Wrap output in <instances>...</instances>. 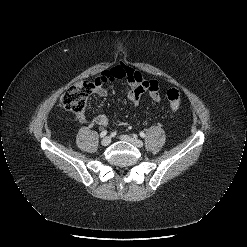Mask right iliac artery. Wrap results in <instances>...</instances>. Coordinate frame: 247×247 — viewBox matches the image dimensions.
I'll list each match as a JSON object with an SVG mask.
<instances>
[{
    "label": "right iliac artery",
    "instance_id": "obj_1",
    "mask_svg": "<svg viewBox=\"0 0 247 247\" xmlns=\"http://www.w3.org/2000/svg\"><path fill=\"white\" fill-rule=\"evenodd\" d=\"M106 134H107V130H103V131L100 133V137L102 138V137L106 136Z\"/></svg>",
    "mask_w": 247,
    "mask_h": 247
}]
</instances>
